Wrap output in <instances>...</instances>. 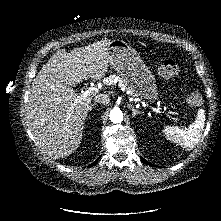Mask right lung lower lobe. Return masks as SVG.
<instances>
[{"instance_id": "obj_1", "label": "right lung lower lobe", "mask_w": 221, "mask_h": 221, "mask_svg": "<svg viewBox=\"0 0 221 221\" xmlns=\"http://www.w3.org/2000/svg\"><path fill=\"white\" fill-rule=\"evenodd\" d=\"M99 159V158H98ZM98 159L92 164V165H90V166H93V165H95L96 164V162L98 161Z\"/></svg>"}]
</instances>
